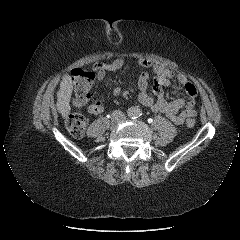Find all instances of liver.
<instances>
[{
	"label": "liver",
	"mask_w": 240,
	"mask_h": 240,
	"mask_svg": "<svg viewBox=\"0 0 240 240\" xmlns=\"http://www.w3.org/2000/svg\"><path fill=\"white\" fill-rule=\"evenodd\" d=\"M73 91V84L71 77L64 75L60 82V89L57 92V103L56 108L63 118L70 114V100Z\"/></svg>",
	"instance_id": "6515ba94"
}]
</instances>
